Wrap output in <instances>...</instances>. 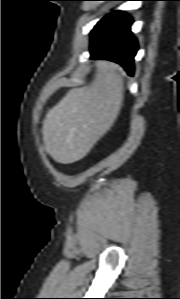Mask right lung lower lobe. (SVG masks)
Segmentation results:
<instances>
[{"label": "right lung lower lobe", "mask_w": 180, "mask_h": 299, "mask_svg": "<svg viewBox=\"0 0 180 299\" xmlns=\"http://www.w3.org/2000/svg\"><path fill=\"white\" fill-rule=\"evenodd\" d=\"M132 22L131 16L122 11L111 12L101 19L90 35L92 58L116 62L133 75L138 43L130 29Z\"/></svg>", "instance_id": "right-lung-lower-lobe-1"}]
</instances>
